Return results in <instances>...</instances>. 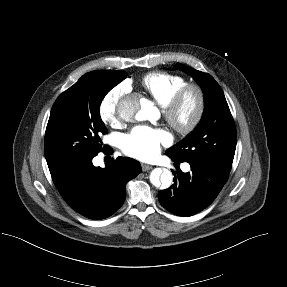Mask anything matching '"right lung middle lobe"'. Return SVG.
Returning a JSON list of instances; mask_svg holds the SVG:
<instances>
[{
    "label": "right lung middle lobe",
    "mask_w": 287,
    "mask_h": 287,
    "mask_svg": "<svg viewBox=\"0 0 287 287\" xmlns=\"http://www.w3.org/2000/svg\"><path fill=\"white\" fill-rule=\"evenodd\" d=\"M126 75L125 71H92L60 94L45 132V157L50 172L104 150L100 136L107 133V128L100 117V104Z\"/></svg>",
    "instance_id": "dd1d6c3e"
}]
</instances>
